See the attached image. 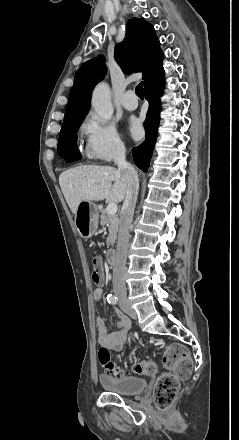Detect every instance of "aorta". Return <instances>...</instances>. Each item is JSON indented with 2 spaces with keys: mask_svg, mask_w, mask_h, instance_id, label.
Segmentation results:
<instances>
[{
  "mask_svg": "<svg viewBox=\"0 0 239 440\" xmlns=\"http://www.w3.org/2000/svg\"><path fill=\"white\" fill-rule=\"evenodd\" d=\"M92 108L97 112L100 118L111 120L114 114V108L111 102V92L108 84L101 82L96 86L91 100Z\"/></svg>",
  "mask_w": 239,
  "mask_h": 440,
  "instance_id": "obj_1",
  "label": "aorta"
}]
</instances>
